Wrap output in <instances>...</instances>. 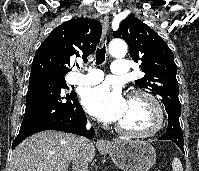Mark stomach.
I'll list each match as a JSON object with an SVG mask.
<instances>
[{"label": "stomach", "instance_id": "obj_1", "mask_svg": "<svg viewBox=\"0 0 199 171\" xmlns=\"http://www.w3.org/2000/svg\"><path fill=\"white\" fill-rule=\"evenodd\" d=\"M103 150L122 171H148L156 160L152 145L140 139H118Z\"/></svg>", "mask_w": 199, "mask_h": 171}]
</instances>
